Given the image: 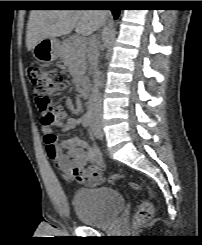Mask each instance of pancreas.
Instances as JSON below:
<instances>
[{
  "label": "pancreas",
  "mask_w": 202,
  "mask_h": 245,
  "mask_svg": "<svg viewBox=\"0 0 202 245\" xmlns=\"http://www.w3.org/2000/svg\"><path fill=\"white\" fill-rule=\"evenodd\" d=\"M77 38L65 40L60 49V57L68 67V71L74 78L75 83H79L85 75L86 63V45L77 43Z\"/></svg>",
  "instance_id": "1"
}]
</instances>
